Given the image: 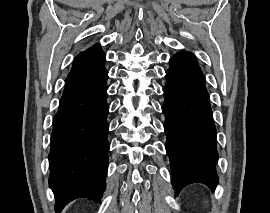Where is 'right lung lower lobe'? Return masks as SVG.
Listing matches in <instances>:
<instances>
[{
  "label": "right lung lower lobe",
  "instance_id": "98d812e1",
  "mask_svg": "<svg viewBox=\"0 0 270 213\" xmlns=\"http://www.w3.org/2000/svg\"><path fill=\"white\" fill-rule=\"evenodd\" d=\"M108 71L103 68L67 81L53 118L49 186L56 213L84 197L101 203L108 166Z\"/></svg>",
  "mask_w": 270,
  "mask_h": 213
}]
</instances>
